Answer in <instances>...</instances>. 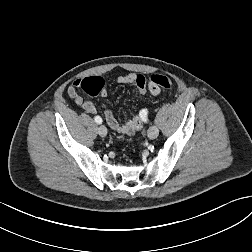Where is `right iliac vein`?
<instances>
[{
	"label": "right iliac vein",
	"instance_id": "obj_1",
	"mask_svg": "<svg viewBox=\"0 0 252 252\" xmlns=\"http://www.w3.org/2000/svg\"><path fill=\"white\" fill-rule=\"evenodd\" d=\"M98 134L102 137H105L107 135V129L105 126H100L98 128Z\"/></svg>",
	"mask_w": 252,
	"mask_h": 252
}]
</instances>
